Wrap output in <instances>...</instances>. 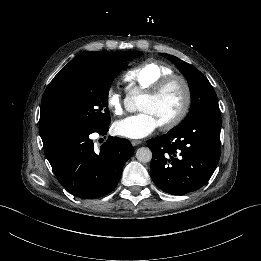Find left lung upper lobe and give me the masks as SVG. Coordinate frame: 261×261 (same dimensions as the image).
I'll return each mask as SVG.
<instances>
[{"mask_svg": "<svg viewBox=\"0 0 261 261\" xmlns=\"http://www.w3.org/2000/svg\"><path fill=\"white\" fill-rule=\"evenodd\" d=\"M162 55L176 65L185 76L190 88L192 100L190 111L184 122L178 127L201 115L220 116L217 96L208 79L193 65L166 53Z\"/></svg>", "mask_w": 261, "mask_h": 261, "instance_id": "1", "label": "left lung upper lobe"}]
</instances>
